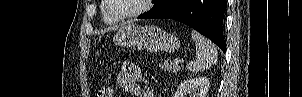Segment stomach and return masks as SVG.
<instances>
[{
  "label": "stomach",
  "mask_w": 302,
  "mask_h": 97,
  "mask_svg": "<svg viewBox=\"0 0 302 97\" xmlns=\"http://www.w3.org/2000/svg\"><path fill=\"white\" fill-rule=\"evenodd\" d=\"M113 41L121 47H140L149 52L174 53L180 48L177 37L154 25L126 24L118 30Z\"/></svg>",
  "instance_id": "0dacf381"
}]
</instances>
